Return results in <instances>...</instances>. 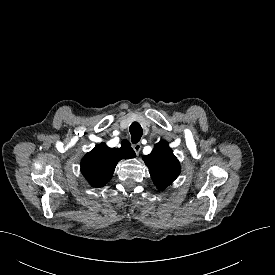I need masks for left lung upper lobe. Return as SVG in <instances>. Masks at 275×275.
Listing matches in <instances>:
<instances>
[{
	"label": "left lung upper lobe",
	"mask_w": 275,
	"mask_h": 275,
	"mask_svg": "<svg viewBox=\"0 0 275 275\" xmlns=\"http://www.w3.org/2000/svg\"><path fill=\"white\" fill-rule=\"evenodd\" d=\"M143 160L159 190H164L180 174V163L166 141L155 144L153 151Z\"/></svg>",
	"instance_id": "1"
}]
</instances>
